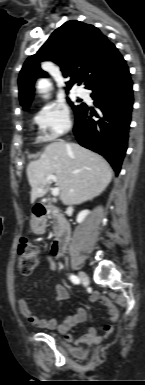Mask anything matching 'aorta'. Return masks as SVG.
Masks as SVG:
<instances>
[{
    "label": "aorta",
    "instance_id": "1",
    "mask_svg": "<svg viewBox=\"0 0 145 385\" xmlns=\"http://www.w3.org/2000/svg\"><path fill=\"white\" fill-rule=\"evenodd\" d=\"M50 82L47 79H41L38 82V89L41 92H46L50 88Z\"/></svg>",
    "mask_w": 145,
    "mask_h": 385
}]
</instances>
